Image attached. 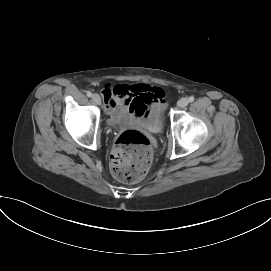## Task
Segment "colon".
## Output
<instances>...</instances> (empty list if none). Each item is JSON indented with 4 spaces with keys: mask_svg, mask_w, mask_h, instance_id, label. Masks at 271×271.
<instances>
[{
    "mask_svg": "<svg viewBox=\"0 0 271 271\" xmlns=\"http://www.w3.org/2000/svg\"><path fill=\"white\" fill-rule=\"evenodd\" d=\"M152 159L148 137L138 130H127L118 137L111 152V172L119 181L135 183L148 173Z\"/></svg>",
    "mask_w": 271,
    "mask_h": 271,
    "instance_id": "colon-1",
    "label": "colon"
}]
</instances>
